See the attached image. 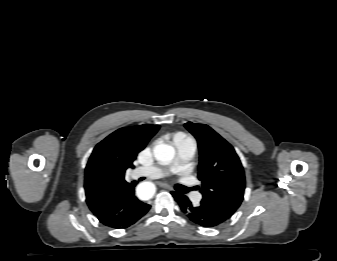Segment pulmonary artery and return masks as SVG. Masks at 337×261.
I'll use <instances>...</instances> for the list:
<instances>
[{
  "instance_id": "e3ab8cb5",
  "label": "pulmonary artery",
  "mask_w": 337,
  "mask_h": 261,
  "mask_svg": "<svg viewBox=\"0 0 337 261\" xmlns=\"http://www.w3.org/2000/svg\"><path fill=\"white\" fill-rule=\"evenodd\" d=\"M178 155H179V160H177L174 165L173 169H178L181 167L183 162H186L190 160L196 150V144L195 142L192 141H186L183 143H179L176 145ZM133 176L134 177H148V178H159L163 176V171L161 168L156 167V166H149V167H140L137 168L133 171ZM192 198L195 202H198L201 198V195L199 193H194L192 195Z\"/></svg>"
}]
</instances>
